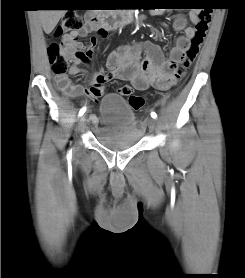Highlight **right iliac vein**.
I'll return each mask as SVG.
<instances>
[{"label":"right iliac vein","mask_w":245,"mask_h":278,"mask_svg":"<svg viewBox=\"0 0 245 278\" xmlns=\"http://www.w3.org/2000/svg\"><path fill=\"white\" fill-rule=\"evenodd\" d=\"M85 121H86V116L83 115V116L80 118V121H79V127H78L79 131L83 130L84 125H85ZM78 148H79L78 145H75V146H74V150H75V151H77Z\"/></svg>","instance_id":"obj_1"}]
</instances>
